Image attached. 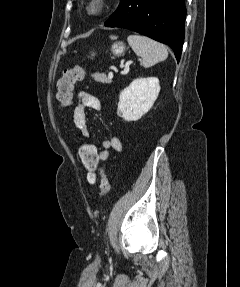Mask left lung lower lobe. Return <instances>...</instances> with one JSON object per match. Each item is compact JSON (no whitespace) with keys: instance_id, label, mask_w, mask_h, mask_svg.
Instances as JSON below:
<instances>
[{"instance_id":"1","label":"left lung lower lobe","mask_w":240,"mask_h":287,"mask_svg":"<svg viewBox=\"0 0 240 287\" xmlns=\"http://www.w3.org/2000/svg\"><path fill=\"white\" fill-rule=\"evenodd\" d=\"M185 17L184 0H121L104 25L126 28L167 44L179 62Z\"/></svg>"}]
</instances>
